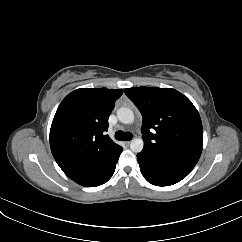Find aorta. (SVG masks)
Returning <instances> with one entry per match:
<instances>
[{"label":"aorta","instance_id":"obj_1","mask_svg":"<svg viewBox=\"0 0 242 242\" xmlns=\"http://www.w3.org/2000/svg\"><path fill=\"white\" fill-rule=\"evenodd\" d=\"M118 120L124 124H131L134 121V113L130 108L122 107L117 111ZM144 143L141 138H134L130 143V149L135 152H141Z\"/></svg>","mask_w":242,"mask_h":242}]
</instances>
